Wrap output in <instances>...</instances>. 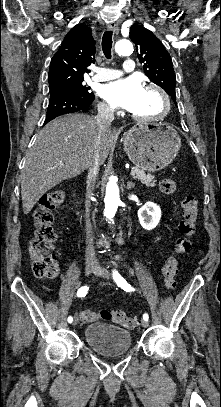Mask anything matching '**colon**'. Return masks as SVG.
<instances>
[{
	"label": "colon",
	"instance_id": "1",
	"mask_svg": "<svg viewBox=\"0 0 221 407\" xmlns=\"http://www.w3.org/2000/svg\"><path fill=\"white\" fill-rule=\"evenodd\" d=\"M160 189L165 194L176 192L175 181L169 178L160 182ZM65 194L61 190H53L44 194L38 201L34 210V226L32 238L29 241L28 251L32 261L35 276L40 278H53L57 275L56 263L52 256L56 241V232L53 228V210L64 202ZM182 217L178 223L179 236L175 241V248L165 262L162 273L165 287L168 290L176 288V276L179 270V257L190 251L191 238L195 232V220L198 215V200L195 196L187 195L182 200ZM83 323H92L98 319L112 320L115 324L126 329H133L137 325L134 317L122 310L93 311L83 310L80 313Z\"/></svg>",
	"mask_w": 221,
	"mask_h": 407
}]
</instances>
